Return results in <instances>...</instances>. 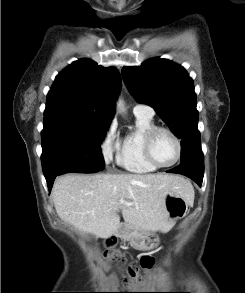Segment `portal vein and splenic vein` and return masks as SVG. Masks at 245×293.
Segmentation results:
<instances>
[{
    "instance_id": "obj_1",
    "label": "portal vein and splenic vein",
    "mask_w": 245,
    "mask_h": 293,
    "mask_svg": "<svg viewBox=\"0 0 245 293\" xmlns=\"http://www.w3.org/2000/svg\"><path fill=\"white\" fill-rule=\"evenodd\" d=\"M120 202L125 205H132V203L125 202L124 200H120Z\"/></svg>"
}]
</instances>
